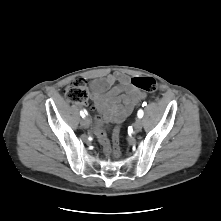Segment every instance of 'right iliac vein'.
Here are the masks:
<instances>
[{"label": "right iliac vein", "instance_id": "obj_1", "mask_svg": "<svg viewBox=\"0 0 221 221\" xmlns=\"http://www.w3.org/2000/svg\"><path fill=\"white\" fill-rule=\"evenodd\" d=\"M90 119L88 117H85L81 120V125L84 127V128H88L90 126Z\"/></svg>", "mask_w": 221, "mask_h": 221}]
</instances>
